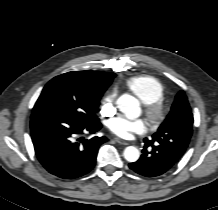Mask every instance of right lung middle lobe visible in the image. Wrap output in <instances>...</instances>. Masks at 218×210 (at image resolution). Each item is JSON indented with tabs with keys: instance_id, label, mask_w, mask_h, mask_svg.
Returning <instances> with one entry per match:
<instances>
[{
	"instance_id": "obj_1",
	"label": "right lung middle lobe",
	"mask_w": 218,
	"mask_h": 210,
	"mask_svg": "<svg viewBox=\"0 0 218 210\" xmlns=\"http://www.w3.org/2000/svg\"><path fill=\"white\" fill-rule=\"evenodd\" d=\"M101 96L102 93L84 90L60 75L46 84L33 112L56 111L93 122L98 120L96 112Z\"/></svg>"
}]
</instances>
